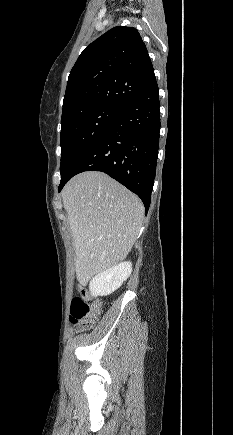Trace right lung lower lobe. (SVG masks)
<instances>
[{
  "instance_id": "1",
  "label": "right lung lower lobe",
  "mask_w": 233,
  "mask_h": 435,
  "mask_svg": "<svg viewBox=\"0 0 233 435\" xmlns=\"http://www.w3.org/2000/svg\"><path fill=\"white\" fill-rule=\"evenodd\" d=\"M160 102L156 78L132 98L61 179L59 191L74 175L102 171L150 206L159 148Z\"/></svg>"
}]
</instances>
